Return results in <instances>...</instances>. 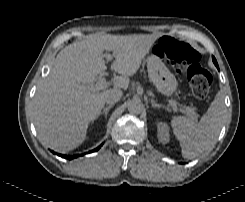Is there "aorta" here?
<instances>
[{
	"label": "aorta",
	"instance_id": "obj_1",
	"mask_svg": "<svg viewBox=\"0 0 245 202\" xmlns=\"http://www.w3.org/2000/svg\"><path fill=\"white\" fill-rule=\"evenodd\" d=\"M143 110V104L139 99H133L128 103V111L132 114H140Z\"/></svg>",
	"mask_w": 245,
	"mask_h": 202
}]
</instances>
